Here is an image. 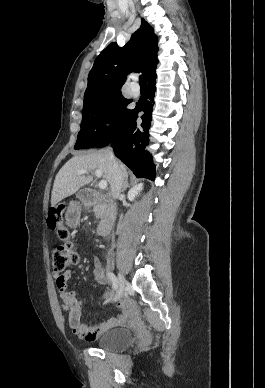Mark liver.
Masks as SVG:
<instances>
[{
  "label": "liver",
  "mask_w": 265,
  "mask_h": 388,
  "mask_svg": "<svg viewBox=\"0 0 265 388\" xmlns=\"http://www.w3.org/2000/svg\"><path fill=\"white\" fill-rule=\"evenodd\" d=\"M108 152L109 150H99V152H91L86 156H74L69 162H66L54 180L51 206H56L58 202L76 194L85 184L92 182L93 176H77L78 170H88V172L102 170L106 182L112 184V164ZM116 162L126 180L128 174L124 164L118 160Z\"/></svg>",
  "instance_id": "obj_1"
}]
</instances>
